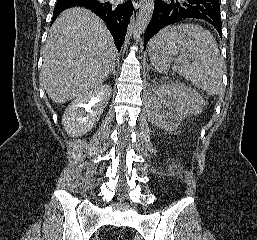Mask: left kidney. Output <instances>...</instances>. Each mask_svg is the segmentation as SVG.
<instances>
[{
	"label": "left kidney",
	"mask_w": 257,
	"mask_h": 240,
	"mask_svg": "<svg viewBox=\"0 0 257 240\" xmlns=\"http://www.w3.org/2000/svg\"><path fill=\"white\" fill-rule=\"evenodd\" d=\"M204 101L199 93L180 83L158 85L149 97V116L153 124L176 129L190 114L201 111Z\"/></svg>",
	"instance_id": "left-kidney-1"
}]
</instances>
